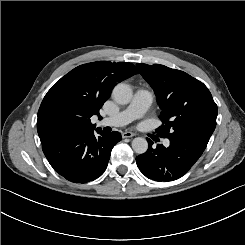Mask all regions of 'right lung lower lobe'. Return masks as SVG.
I'll return each mask as SVG.
<instances>
[{
  "mask_svg": "<svg viewBox=\"0 0 245 245\" xmlns=\"http://www.w3.org/2000/svg\"><path fill=\"white\" fill-rule=\"evenodd\" d=\"M94 129L54 137L42 144L54 170L74 183H86L100 177L107 168L111 150L121 140L119 132L100 133Z\"/></svg>",
  "mask_w": 245,
  "mask_h": 245,
  "instance_id": "obj_1",
  "label": "right lung lower lobe"
}]
</instances>
